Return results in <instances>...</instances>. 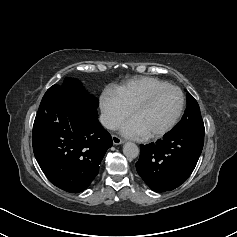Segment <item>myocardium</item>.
Returning <instances> with one entry per match:
<instances>
[{
	"mask_svg": "<svg viewBox=\"0 0 237 237\" xmlns=\"http://www.w3.org/2000/svg\"><path fill=\"white\" fill-rule=\"evenodd\" d=\"M175 90L179 93L180 95V105L178 108V111L176 112L175 116L172 118V120L161 130L156 131L154 133H150V134H146L144 135V139L146 140H150V139H157L160 138L162 136H164L165 134H167L169 131H171L176 124L179 122L183 111H184V107H185V96L184 93L182 92V90L176 86L173 85H167L164 87H160L157 89H154L152 91H150L149 93H147L146 95H144L142 98H140L136 103H134V105L131 107L130 111H129V116L130 118L133 116V114L140 108H142L143 106H145L146 104H148L150 101H152L157 95H159L160 93L166 91V90Z\"/></svg>",
	"mask_w": 237,
	"mask_h": 237,
	"instance_id": "obj_1",
	"label": "myocardium"
}]
</instances>
